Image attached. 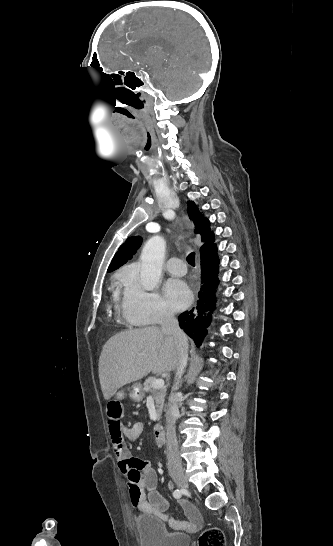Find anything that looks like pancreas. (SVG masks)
<instances>
[{"instance_id": "cf45deb5", "label": "pancreas", "mask_w": 333, "mask_h": 546, "mask_svg": "<svg viewBox=\"0 0 333 546\" xmlns=\"http://www.w3.org/2000/svg\"><path fill=\"white\" fill-rule=\"evenodd\" d=\"M155 377H149L144 382L143 392L151 393L156 403V412L157 418L160 419L162 414V409L164 406V398L166 395V388H153L152 383L155 380Z\"/></svg>"}]
</instances>
